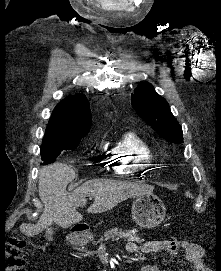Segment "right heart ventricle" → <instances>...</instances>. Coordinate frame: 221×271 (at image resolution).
Instances as JSON below:
<instances>
[{
  "instance_id": "right-heart-ventricle-1",
  "label": "right heart ventricle",
  "mask_w": 221,
  "mask_h": 271,
  "mask_svg": "<svg viewBox=\"0 0 221 271\" xmlns=\"http://www.w3.org/2000/svg\"><path fill=\"white\" fill-rule=\"evenodd\" d=\"M118 147H122V151H130L133 154H116V158H108V163L114 164H137V166H113L115 176H123V179H138L144 173L140 170V164L145 169L154 159V151L149 143L141 138H121Z\"/></svg>"
}]
</instances>
